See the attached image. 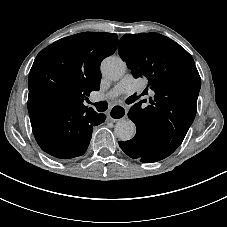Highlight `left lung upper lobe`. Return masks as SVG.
<instances>
[{
  "mask_svg": "<svg viewBox=\"0 0 227 227\" xmlns=\"http://www.w3.org/2000/svg\"><path fill=\"white\" fill-rule=\"evenodd\" d=\"M119 53L135 78L146 77L155 96L144 108L135 103V125L177 148L191 126L201 79L192 56L179 44L158 33L125 34ZM147 92V89H146Z\"/></svg>",
  "mask_w": 227,
  "mask_h": 227,
  "instance_id": "left-lung-upper-lobe-1",
  "label": "left lung upper lobe"
}]
</instances>
